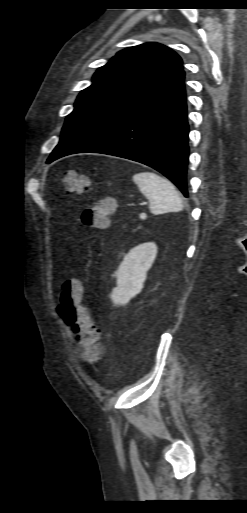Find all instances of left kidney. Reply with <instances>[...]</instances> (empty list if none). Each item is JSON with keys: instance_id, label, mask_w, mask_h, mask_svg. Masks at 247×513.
<instances>
[{"instance_id": "obj_1", "label": "left kidney", "mask_w": 247, "mask_h": 513, "mask_svg": "<svg viewBox=\"0 0 247 513\" xmlns=\"http://www.w3.org/2000/svg\"><path fill=\"white\" fill-rule=\"evenodd\" d=\"M157 249L154 242H147L132 248L125 255L114 274L117 287L113 289L111 299L115 304L126 305L141 292L147 271L156 258Z\"/></svg>"}]
</instances>
